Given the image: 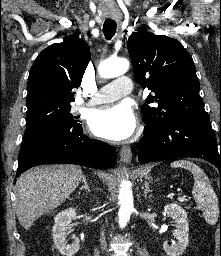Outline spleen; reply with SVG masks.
Here are the masks:
<instances>
[{"label":"spleen","instance_id":"spleen-1","mask_svg":"<svg viewBox=\"0 0 221 256\" xmlns=\"http://www.w3.org/2000/svg\"><path fill=\"white\" fill-rule=\"evenodd\" d=\"M171 167L187 169L193 174L195 182L192 195L195 202L202 209L205 220L215 225L219 216L218 198L204 171L188 160L173 161Z\"/></svg>","mask_w":221,"mask_h":256}]
</instances>
